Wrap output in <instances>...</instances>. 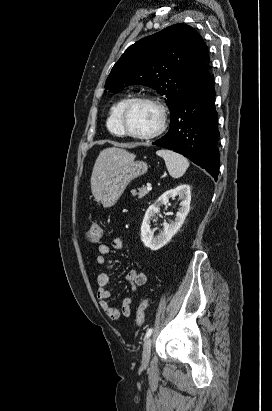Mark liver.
<instances>
[{
	"label": "liver",
	"instance_id": "6515ba94",
	"mask_svg": "<svg viewBox=\"0 0 272 411\" xmlns=\"http://www.w3.org/2000/svg\"><path fill=\"white\" fill-rule=\"evenodd\" d=\"M134 155L121 148H106L99 153L91 175V191L99 200L105 182L111 173L132 160Z\"/></svg>",
	"mask_w": 272,
	"mask_h": 411
}]
</instances>
